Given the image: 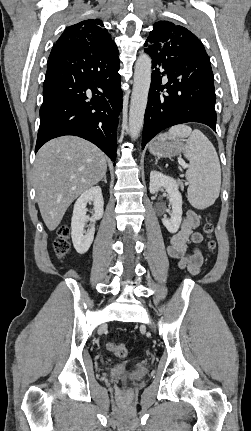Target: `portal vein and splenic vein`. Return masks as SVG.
I'll use <instances>...</instances> for the list:
<instances>
[{
  "mask_svg": "<svg viewBox=\"0 0 251 431\" xmlns=\"http://www.w3.org/2000/svg\"><path fill=\"white\" fill-rule=\"evenodd\" d=\"M181 165H182L184 168H187V167H188V165H187L186 163H184V162H181Z\"/></svg>",
  "mask_w": 251,
  "mask_h": 431,
  "instance_id": "portal-vein-and-splenic-vein-1",
  "label": "portal vein and splenic vein"
}]
</instances>
